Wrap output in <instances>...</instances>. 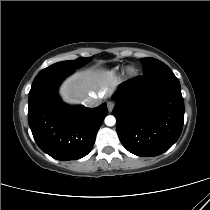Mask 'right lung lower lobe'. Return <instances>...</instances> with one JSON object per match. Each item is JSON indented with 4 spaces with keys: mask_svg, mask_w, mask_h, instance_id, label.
<instances>
[{
    "mask_svg": "<svg viewBox=\"0 0 210 210\" xmlns=\"http://www.w3.org/2000/svg\"><path fill=\"white\" fill-rule=\"evenodd\" d=\"M73 70L43 69L35 77L28 99V122L40 149L57 160L86 156L108 113L106 103L96 108L68 106L58 86Z\"/></svg>",
    "mask_w": 210,
    "mask_h": 210,
    "instance_id": "obj_1",
    "label": "right lung lower lobe"
}]
</instances>
